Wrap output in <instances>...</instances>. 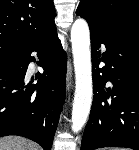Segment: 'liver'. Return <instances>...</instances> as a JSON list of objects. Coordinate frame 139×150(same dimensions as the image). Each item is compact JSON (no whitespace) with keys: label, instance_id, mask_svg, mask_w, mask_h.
<instances>
[{"label":"liver","instance_id":"obj_1","mask_svg":"<svg viewBox=\"0 0 139 150\" xmlns=\"http://www.w3.org/2000/svg\"><path fill=\"white\" fill-rule=\"evenodd\" d=\"M0 150H38V146L22 137L0 138Z\"/></svg>","mask_w":139,"mask_h":150}]
</instances>
